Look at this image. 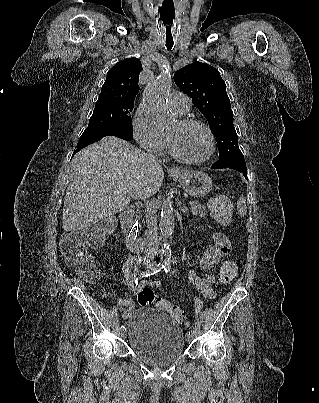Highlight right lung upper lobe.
Instances as JSON below:
<instances>
[{
    "label": "right lung upper lobe",
    "mask_w": 319,
    "mask_h": 403,
    "mask_svg": "<svg viewBox=\"0 0 319 403\" xmlns=\"http://www.w3.org/2000/svg\"><path fill=\"white\" fill-rule=\"evenodd\" d=\"M142 71L137 58L119 61L108 73L97 103L134 104L138 94V76Z\"/></svg>",
    "instance_id": "1"
}]
</instances>
